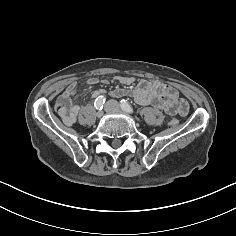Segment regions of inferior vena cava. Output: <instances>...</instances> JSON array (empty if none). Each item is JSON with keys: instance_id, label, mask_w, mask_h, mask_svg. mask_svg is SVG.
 <instances>
[{"instance_id": "1", "label": "inferior vena cava", "mask_w": 236, "mask_h": 236, "mask_svg": "<svg viewBox=\"0 0 236 236\" xmlns=\"http://www.w3.org/2000/svg\"><path fill=\"white\" fill-rule=\"evenodd\" d=\"M110 103H116V101L115 100H111Z\"/></svg>"}]
</instances>
